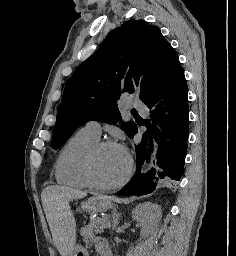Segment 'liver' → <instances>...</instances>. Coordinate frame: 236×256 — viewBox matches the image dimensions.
<instances>
[{"label":"liver","mask_w":236,"mask_h":256,"mask_svg":"<svg viewBox=\"0 0 236 256\" xmlns=\"http://www.w3.org/2000/svg\"><path fill=\"white\" fill-rule=\"evenodd\" d=\"M85 196H87V192L64 188V186H48V188H44L41 194L43 210L53 240H55L61 256H72L76 240L75 218H73L69 202L75 200V198H85ZM64 210L68 224V234L66 238H64V236H58L65 218Z\"/></svg>","instance_id":"6515ba94"}]
</instances>
